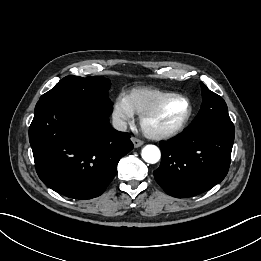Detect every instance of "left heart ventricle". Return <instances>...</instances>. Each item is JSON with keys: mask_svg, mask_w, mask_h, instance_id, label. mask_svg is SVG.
I'll return each instance as SVG.
<instances>
[{"mask_svg": "<svg viewBox=\"0 0 261 261\" xmlns=\"http://www.w3.org/2000/svg\"><path fill=\"white\" fill-rule=\"evenodd\" d=\"M186 112V102L178 99L172 100L157 117L151 120L150 126L157 129L172 127L184 117Z\"/></svg>", "mask_w": 261, "mask_h": 261, "instance_id": "obj_1", "label": "left heart ventricle"}]
</instances>
